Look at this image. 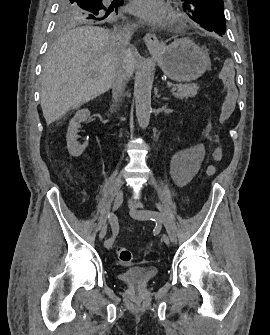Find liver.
<instances>
[{
  "label": "liver",
  "instance_id": "6515ba94",
  "mask_svg": "<svg viewBox=\"0 0 270 335\" xmlns=\"http://www.w3.org/2000/svg\"><path fill=\"white\" fill-rule=\"evenodd\" d=\"M135 64L133 48L118 44L105 28L81 26L66 32L51 46L42 72L46 124L110 90L115 70L132 76Z\"/></svg>",
  "mask_w": 270,
  "mask_h": 335
}]
</instances>
